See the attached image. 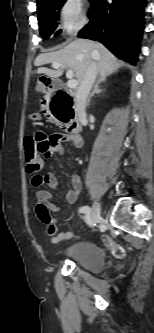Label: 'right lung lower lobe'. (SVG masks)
<instances>
[{
  "mask_svg": "<svg viewBox=\"0 0 154 333\" xmlns=\"http://www.w3.org/2000/svg\"><path fill=\"white\" fill-rule=\"evenodd\" d=\"M146 0H95L81 38L98 40L118 58L137 61Z\"/></svg>",
  "mask_w": 154,
  "mask_h": 333,
  "instance_id": "1",
  "label": "right lung lower lobe"
}]
</instances>
